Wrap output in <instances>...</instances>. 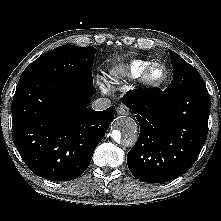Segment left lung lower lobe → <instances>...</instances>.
<instances>
[{
  "label": "left lung lower lobe",
  "instance_id": "obj_1",
  "mask_svg": "<svg viewBox=\"0 0 221 221\" xmlns=\"http://www.w3.org/2000/svg\"><path fill=\"white\" fill-rule=\"evenodd\" d=\"M122 101L140 124L138 140L127 155L133 176L142 182L162 183L185 173L207 139V89L175 95L165 90H131Z\"/></svg>",
  "mask_w": 221,
  "mask_h": 221
}]
</instances>
